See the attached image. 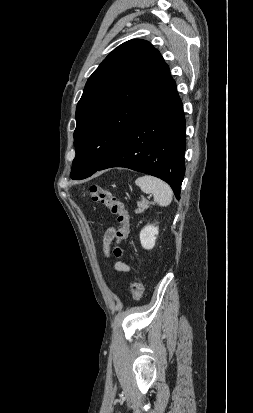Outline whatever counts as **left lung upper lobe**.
<instances>
[{
	"mask_svg": "<svg viewBox=\"0 0 253 413\" xmlns=\"http://www.w3.org/2000/svg\"><path fill=\"white\" fill-rule=\"evenodd\" d=\"M168 65L149 42L114 49L88 79L76 108L72 179L97 171L168 87Z\"/></svg>",
	"mask_w": 253,
	"mask_h": 413,
	"instance_id": "left-lung-upper-lobe-1",
	"label": "left lung upper lobe"
}]
</instances>
